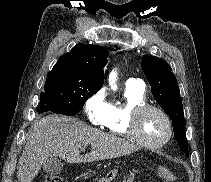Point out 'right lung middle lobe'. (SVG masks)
<instances>
[{"instance_id": "right-lung-middle-lobe-1", "label": "right lung middle lobe", "mask_w": 211, "mask_h": 182, "mask_svg": "<svg viewBox=\"0 0 211 182\" xmlns=\"http://www.w3.org/2000/svg\"><path fill=\"white\" fill-rule=\"evenodd\" d=\"M102 87L79 81L63 72H49L40 101L51 100L64 115L74 116L84 103Z\"/></svg>"}]
</instances>
